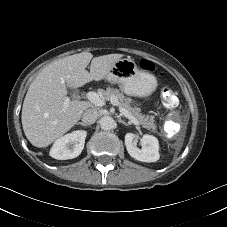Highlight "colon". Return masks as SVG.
<instances>
[{
	"label": "colon",
	"mask_w": 227,
	"mask_h": 227,
	"mask_svg": "<svg viewBox=\"0 0 227 227\" xmlns=\"http://www.w3.org/2000/svg\"><path fill=\"white\" fill-rule=\"evenodd\" d=\"M140 65L143 69H145L147 71H151L154 69L153 63L148 60H142L140 62ZM160 95H161L162 100L166 104H168L170 106H176L178 104V97L176 96V94L174 93V91L171 88H169V87L162 88Z\"/></svg>",
	"instance_id": "1"
}]
</instances>
